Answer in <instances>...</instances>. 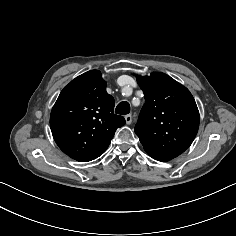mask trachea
Segmentation results:
<instances>
[{
  "mask_svg": "<svg viewBox=\"0 0 236 236\" xmlns=\"http://www.w3.org/2000/svg\"><path fill=\"white\" fill-rule=\"evenodd\" d=\"M115 113L120 115L130 113V104L126 101L120 102L115 109Z\"/></svg>",
  "mask_w": 236,
  "mask_h": 236,
  "instance_id": "obj_1",
  "label": "trachea"
}]
</instances>
